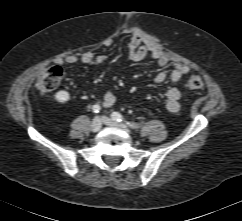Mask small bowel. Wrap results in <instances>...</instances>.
<instances>
[{
  "label": "small bowel",
  "mask_w": 242,
  "mask_h": 221,
  "mask_svg": "<svg viewBox=\"0 0 242 221\" xmlns=\"http://www.w3.org/2000/svg\"><path fill=\"white\" fill-rule=\"evenodd\" d=\"M128 55L132 61L138 62L146 57H151L157 65L162 68L160 72L154 77V83L161 84L167 80L171 84L178 83L183 76L188 74L189 67L185 64H175L174 67L169 70V59L164 52L155 48L150 39L142 32H134L128 44ZM78 61L89 65L102 64L105 61V57L102 55H96L92 52H85L80 57L76 55H69L66 57L56 59L55 63L58 65H73ZM166 97V110L170 113H176L180 109V90L171 86L165 93ZM116 96L112 91H106L103 95L102 105L105 108H110L114 105Z\"/></svg>",
  "instance_id": "obj_1"
}]
</instances>
